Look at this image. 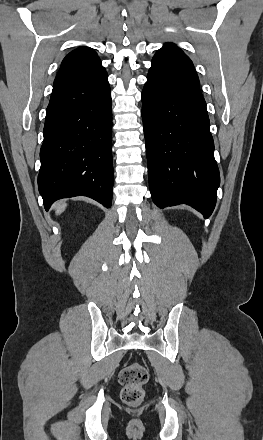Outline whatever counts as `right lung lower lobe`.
I'll return each instance as SVG.
<instances>
[{
  "label": "right lung lower lobe",
  "mask_w": 263,
  "mask_h": 440,
  "mask_svg": "<svg viewBox=\"0 0 263 440\" xmlns=\"http://www.w3.org/2000/svg\"><path fill=\"white\" fill-rule=\"evenodd\" d=\"M43 134L38 188L45 209L74 196H88L110 208L112 103L107 72L53 90Z\"/></svg>",
  "instance_id": "1"
}]
</instances>
